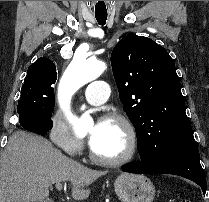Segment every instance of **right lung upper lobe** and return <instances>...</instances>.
<instances>
[{
    "instance_id": "1",
    "label": "right lung upper lobe",
    "mask_w": 209,
    "mask_h": 202,
    "mask_svg": "<svg viewBox=\"0 0 209 202\" xmlns=\"http://www.w3.org/2000/svg\"><path fill=\"white\" fill-rule=\"evenodd\" d=\"M38 74L57 75L55 64L48 58L41 57L28 68L25 78H29Z\"/></svg>"
}]
</instances>
